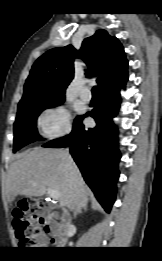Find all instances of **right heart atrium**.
<instances>
[{
    "instance_id": "d8ad5b80",
    "label": "right heart atrium",
    "mask_w": 162,
    "mask_h": 261,
    "mask_svg": "<svg viewBox=\"0 0 162 261\" xmlns=\"http://www.w3.org/2000/svg\"><path fill=\"white\" fill-rule=\"evenodd\" d=\"M43 133L50 138L67 134L71 129V115L63 104L48 108L40 118Z\"/></svg>"
}]
</instances>
